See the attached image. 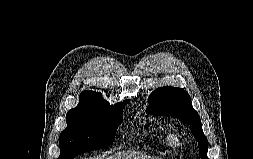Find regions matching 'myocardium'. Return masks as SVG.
<instances>
[{"label": "myocardium", "mask_w": 253, "mask_h": 159, "mask_svg": "<svg viewBox=\"0 0 253 159\" xmlns=\"http://www.w3.org/2000/svg\"><path fill=\"white\" fill-rule=\"evenodd\" d=\"M170 143H171L172 146H174V147H179V145H180V137H179V135L173 134V135L171 136V141H170Z\"/></svg>", "instance_id": "1"}]
</instances>
